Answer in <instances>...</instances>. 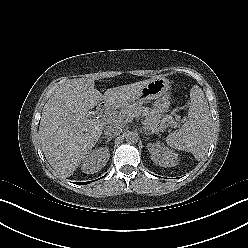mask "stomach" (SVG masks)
<instances>
[{"label": "stomach", "instance_id": "stomach-1", "mask_svg": "<svg viewBox=\"0 0 248 248\" xmlns=\"http://www.w3.org/2000/svg\"><path fill=\"white\" fill-rule=\"evenodd\" d=\"M170 82L167 78L156 76L150 79L127 103L116 104L119 107H124L132 104H143L151 100H157L155 107L165 112L170 105Z\"/></svg>", "mask_w": 248, "mask_h": 248}]
</instances>
